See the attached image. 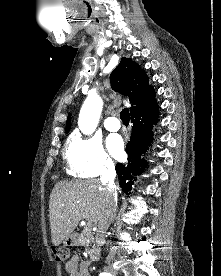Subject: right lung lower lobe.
I'll return each instance as SVG.
<instances>
[{"label": "right lung lower lobe", "mask_w": 221, "mask_h": 276, "mask_svg": "<svg viewBox=\"0 0 221 276\" xmlns=\"http://www.w3.org/2000/svg\"><path fill=\"white\" fill-rule=\"evenodd\" d=\"M159 117L157 103H153L142 111L131 115L133 123L130 141L126 145L128 163H117L115 169L118 174L119 185L125 193H131L133 180L141 175L147 167L146 160L141 156L146 152L153 140L152 126L157 124Z\"/></svg>", "instance_id": "1"}]
</instances>
